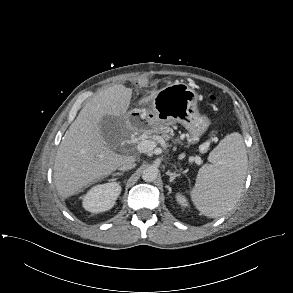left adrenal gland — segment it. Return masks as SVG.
Here are the masks:
<instances>
[{
    "mask_svg": "<svg viewBox=\"0 0 293 293\" xmlns=\"http://www.w3.org/2000/svg\"><path fill=\"white\" fill-rule=\"evenodd\" d=\"M166 175H168V176H170V178H169V182L171 183V182H173L177 177H179L180 176V174H177V173H172V172H170V171H167L166 172Z\"/></svg>",
    "mask_w": 293,
    "mask_h": 293,
    "instance_id": "obj_1",
    "label": "left adrenal gland"
}]
</instances>
